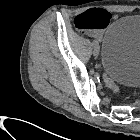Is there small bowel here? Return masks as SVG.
<instances>
[{
  "instance_id": "1",
  "label": "small bowel",
  "mask_w": 140,
  "mask_h": 140,
  "mask_svg": "<svg viewBox=\"0 0 140 140\" xmlns=\"http://www.w3.org/2000/svg\"><path fill=\"white\" fill-rule=\"evenodd\" d=\"M107 13H108V12H107ZM108 14H109V13H108ZM109 16H110V18H112V15H111V14H109ZM113 19H114V20H117V19H118V16H117V15L113 16ZM94 36L99 38V37H100V33H94Z\"/></svg>"
}]
</instances>
